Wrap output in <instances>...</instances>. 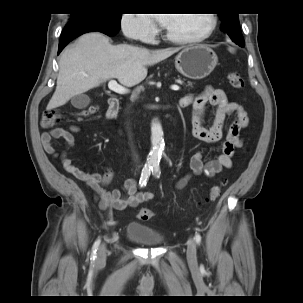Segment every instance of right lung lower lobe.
<instances>
[{"label": "right lung lower lobe", "mask_w": 303, "mask_h": 303, "mask_svg": "<svg viewBox=\"0 0 303 303\" xmlns=\"http://www.w3.org/2000/svg\"><path fill=\"white\" fill-rule=\"evenodd\" d=\"M119 30L120 24L103 20H82L68 24L61 33L58 54L69 42L84 33L99 31L106 35L113 36L117 34Z\"/></svg>", "instance_id": "98d812e1"}]
</instances>
